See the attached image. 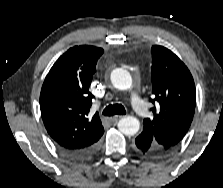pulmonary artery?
<instances>
[{
    "label": "pulmonary artery",
    "mask_w": 223,
    "mask_h": 188,
    "mask_svg": "<svg viewBox=\"0 0 223 188\" xmlns=\"http://www.w3.org/2000/svg\"><path fill=\"white\" fill-rule=\"evenodd\" d=\"M131 105L133 109L140 115L144 116L147 113V108L145 103L141 100V98L137 94H133L131 97Z\"/></svg>",
    "instance_id": "obj_1"
}]
</instances>
